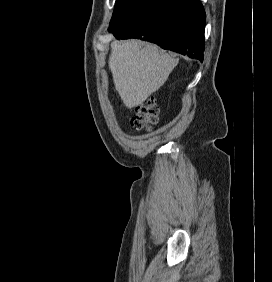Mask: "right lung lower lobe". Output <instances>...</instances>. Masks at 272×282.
<instances>
[{"label":"right lung lower lobe","mask_w":272,"mask_h":282,"mask_svg":"<svg viewBox=\"0 0 272 282\" xmlns=\"http://www.w3.org/2000/svg\"><path fill=\"white\" fill-rule=\"evenodd\" d=\"M204 27L199 0H139L109 32L118 39L138 38L203 60Z\"/></svg>","instance_id":"obj_1"}]
</instances>
